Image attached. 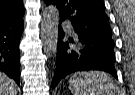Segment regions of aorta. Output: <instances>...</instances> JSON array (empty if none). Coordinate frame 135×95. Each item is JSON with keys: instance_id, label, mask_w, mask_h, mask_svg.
I'll use <instances>...</instances> for the list:
<instances>
[{"instance_id": "aorta-1", "label": "aorta", "mask_w": 135, "mask_h": 95, "mask_svg": "<svg viewBox=\"0 0 135 95\" xmlns=\"http://www.w3.org/2000/svg\"><path fill=\"white\" fill-rule=\"evenodd\" d=\"M59 11L57 7L48 6L41 21V36L44 52L48 56H53L57 51L58 43Z\"/></svg>"}]
</instances>
